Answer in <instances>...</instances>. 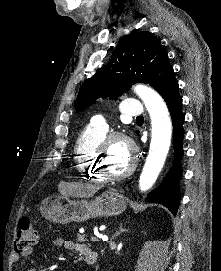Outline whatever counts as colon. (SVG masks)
<instances>
[{
	"label": "colon",
	"instance_id": "1",
	"mask_svg": "<svg viewBox=\"0 0 221 271\" xmlns=\"http://www.w3.org/2000/svg\"><path fill=\"white\" fill-rule=\"evenodd\" d=\"M38 240V230L33 221L22 218L16 234L14 248L17 252H23L34 246Z\"/></svg>",
	"mask_w": 221,
	"mask_h": 271
}]
</instances>
